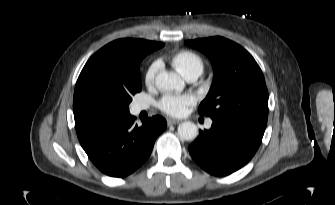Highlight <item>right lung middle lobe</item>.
<instances>
[{
	"instance_id": "obj_1",
	"label": "right lung middle lobe",
	"mask_w": 335,
	"mask_h": 205,
	"mask_svg": "<svg viewBox=\"0 0 335 205\" xmlns=\"http://www.w3.org/2000/svg\"><path fill=\"white\" fill-rule=\"evenodd\" d=\"M148 53H142L135 60L132 73L123 85L113 89H101L86 97L83 107L88 119L109 121L129 114L132 95L142 90L139 64Z\"/></svg>"
}]
</instances>
